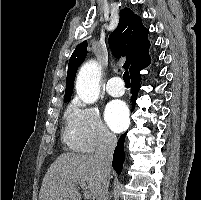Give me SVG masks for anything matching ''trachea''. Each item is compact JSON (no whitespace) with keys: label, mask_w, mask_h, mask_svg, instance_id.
<instances>
[{"label":"trachea","mask_w":201,"mask_h":200,"mask_svg":"<svg viewBox=\"0 0 201 200\" xmlns=\"http://www.w3.org/2000/svg\"><path fill=\"white\" fill-rule=\"evenodd\" d=\"M123 80L126 84V86H130V76H129V72L125 71L123 74Z\"/></svg>","instance_id":"obj_1"}]
</instances>
